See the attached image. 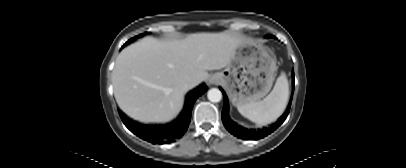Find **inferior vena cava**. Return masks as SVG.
Masks as SVG:
<instances>
[{
    "label": "inferior vena cava",
    "mask_w": 406,
    "mask_h": 168,
    "mask_svg": "<svg viewBox=\"0 0 406 168\" xmlns=\"http://www.w3.org/2000/svg\"><path fill=\"white\" fill-rule=\"evenodd\" d=\"M193 82H194L193 79L188 80V82L186 83V87H188V88L191 87Z\"/></svg>",
    "instance_id": "obj_1"
}]
</instances>
